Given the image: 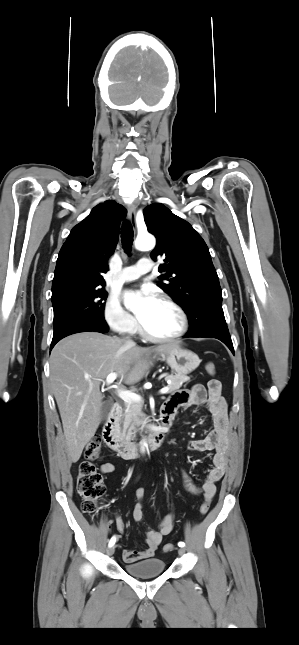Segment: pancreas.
Segmentation results:
<instances>
[{
  "instance_id": "obj_1",
  "label": "pancreas",
  "mask_w": 299,
  "mask_h": 645,
  "mask_svg": "<svg viewBox=\"0 0 299 645\" xmlns=\"http://www.w3.org/2000/svg\"><path fill=\"white\" fill-rule=\"evenodd\" d=\"M166 380H170L171 383L168 385V393H172L178 390L183 383L188 382L190 377L183 374H176L167 376ZM125 410L122 415V433L121 436L126 440H132L135 438L138 427L143 425L145 414L142 412V404L138 402H125ZM142 429V428H140Z\"/></svg>"
}]
</instances>
